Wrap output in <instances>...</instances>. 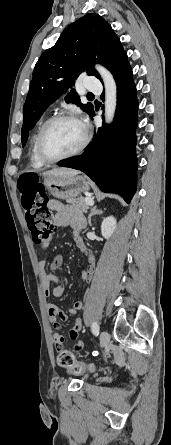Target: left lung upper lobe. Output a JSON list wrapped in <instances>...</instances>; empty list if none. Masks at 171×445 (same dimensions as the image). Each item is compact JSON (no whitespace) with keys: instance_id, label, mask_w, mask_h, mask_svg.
Returning a JSON list of instances; mask_svg holds the SVG:
<instances>
[{"instance_id":"5c2ea615","label":"left lung upper lobe","mask_w":171,"mask_h":445,"mask_svg":"<svg viewBox=\"0 0 171 445\" xmlns=\"http://www.w3.org/2000/svg\"><path fill=\"white\" fill-rule=\"evenodd\" d=\"M100 63L114 75L128 63V57L110 24L100 15L86 14L72 23L55 45L39 58L33 71L29 92L23 108L22 146L28 132L47 107L74 84L82 72L100 78L93 65ZM89 115L93 104H82L75 89L65 97Z\"/></svg>"}]
</instances>
